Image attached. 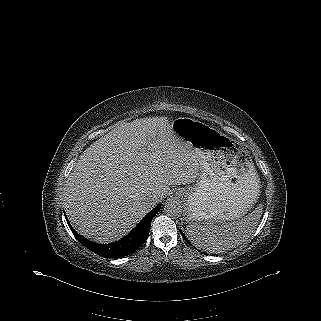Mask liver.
<instances>
[{"label": "liver", "instance_id": "1", "mask_svg": "<svg viewBox=\"0 0 321 321\" xmlns=\"http://www.w3.org/2000/svg\"><path fill=\"white\" fill-rule=\"evenodd\" d=\"M199 169L198 157L174 135L166 117L120 122L80 155L64 189L65 211L79 234L114 242L161 202L170 186L194 182Z\"/></svg>", "mask_w": 321, "mask_h": 321}]
</instances>
